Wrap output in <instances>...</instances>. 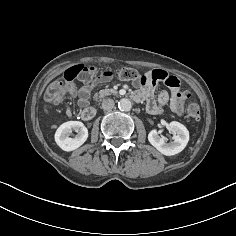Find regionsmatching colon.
Wrapping results in <instances>:
<instances>
[{
    "label": "colon",
    "mask_w": 236,
    "mask_h": 236,
    "mask_svg": "<svg viewBox=\"0 0 236 236\" xmlns=\"http://www.w3.org/2000/svg\"><path fill=\"white\" fill-rule=\"evenodd\" d=\"M97 68L92 65H75L67 69L62 77L54 82L47 91V99L53 103H57L60 100L62 93V86L66 83H73L74 81H82L84 83H90L95 74ZM118 77L122 80H134L137 78V72L131 67H123L118 71ZM177 84L173 77H169L166 85L173 86ZM177 97L180 101L178 110L179 112H186L187 116L194 121H198L200 117V108L195 103L188 105L184 104V101L189 97L187 91H179Z\"/></svg>",
    "instance_id": "colon-1"
}]
</instances>
